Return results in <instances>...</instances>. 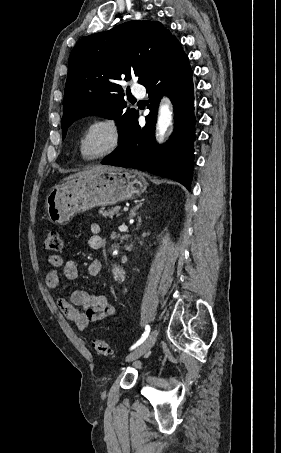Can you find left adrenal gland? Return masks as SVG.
<instances>
[{
    "instance_id": "a2214340",
    "label": "left adrenal gland",
    "mask_w": 281,
    "mask_h": 453,
    "mask_svg": "<svg viewBox=\"0 0 281 453\" xmlns=\"http://www.w3.org/2000/svg\"><path fill=\"white\" fill-rule=\"evenodd\" d=\"M143 202H139V204H137V206H133V208H131L130 210V218H133V216H136V214H138V212H136V210H138L139 206H142Z\"/></svg>"
}]
</instances>
